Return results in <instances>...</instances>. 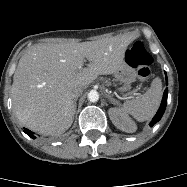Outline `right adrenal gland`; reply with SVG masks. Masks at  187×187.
<instances>
[{"label":"right adrenal gland","instance_id":"2a0ac1e0","mask_svg":"<svg viewBox=\"0 0 187 187\" xmlns=\"http://www.w3.org/2000/svg\"><path fill=\"white\" fill-rule=\"evenodd\" d=\"M76 101H77V99L74 100V105H75V106H76Z\"/></svg>","mask_w":187,"mask_h":187}]
</instances>
